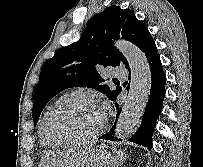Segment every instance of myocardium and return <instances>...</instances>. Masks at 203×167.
<instances>
[{
	"label": "myocardium",
	"mask_w": 203,
	"mask_h": 167,
	"mask_svg": "<svg viewBox=\"0 0 203 167\" xmlns=\"http://www.w3.org/2000/svg\"><path fill=\"white\" fill-rule=\"evenodd\" d=\"M77 100H85L87 102H90L92 105L95 106L92 98L83 92H76L74 94H71L67 97H65L64 99H62L61 101H59L55 106H53L43 117L42 122H41V128H42V132L44 134V136L55 143H58L60 145H73V144H85V143H89L92 142L94 140H96L105 130L106 128V117L102 114V124L99 127L98 130H96L93 134L83 137V138H73V139H65V138H60L57 137L53 134L50 133V131L48 130V121L49 119L56 114L57 112H59L60 110H62L64 107H66L67 105H69L72 102H75ZM96 107V106H95Z\"/></svg>",
	"instance_id": "obj_1"
}]
</instances>
